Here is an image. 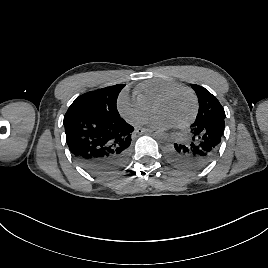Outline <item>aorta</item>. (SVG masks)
<instances>
[{
  "label": "aorta",
  "instance_id": "762f6f07",
  "mask_svg": "<svg viewBox=\"0 0 268 268\" xmlns=\"http://www.w3.org/2000/svg\"><path fill=\"white\" fill-rule=\"evenodd\" d=\"M154 138L157 142L162 143L166 140L167 135L164 131L159 130L155 133Z\"/></svg>",
  "mask_w": 268,
  "mask_h": 268
}]
</instances>
